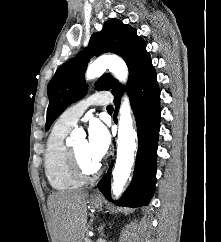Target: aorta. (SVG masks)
Returning a JSON list of instances; mask_svg holds the SVG:
<instances>
[{
  "label": "aorta",
  "instance_id": "1",
  "mask_svg": "<svg viewBox=\"0 0 221 242\" xmlns=\"http://www.w3.org/2000/svg\"><path fill=\"white\" fill-rule=\"evenodd\" d=\"M106 69L120 82L125 83L128 78V68L126 63L118 56H101L89 65L85 77L92 80L100 77ZM120 118L118 122L117 138V159L113 175L112 193L118 197L123 192L124 186L130 176L134 163V152L136 150V132L133 128L131 108L129 100L124 97L120 107Z\"/></svg>",
  "mask_w": 221,
  "mask_h": 242
}]
</instances>
